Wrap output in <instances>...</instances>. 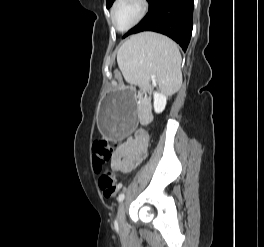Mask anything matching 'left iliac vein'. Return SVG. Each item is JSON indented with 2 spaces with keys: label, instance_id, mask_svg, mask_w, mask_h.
<instances>
[{
  "label": "left iliac vein",
  "instance_id": "1",
  "mask_svg": "<svg viewBox=\"0 0 264 247\" xmlns=\"http://www.w3.org/2000/svg\"><path fill=\"white\" fill-rule=\"evenodd\" d=\"M117 222L120 229L126 228L125 204L122 202L117 211Z\"/></svg>",
  "mask_w": 264,
  "mask_h": 247
}]
</instances>
